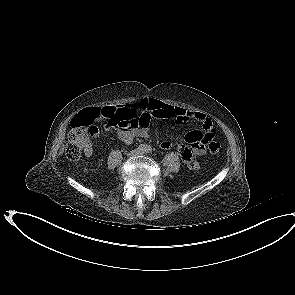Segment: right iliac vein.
Segmentation results:
<instances>
[{
    "instance_id": "1",
    "label": "right iliac vein",
    "mask_w": 295,
    "mask_h": 295,
    "mask_svg": "<svg viewBox=\"0 0 295 295\" xmlns=\"http://www.w3.org/2000/svg\"><path fill=\"white\" fill-rule=\"evenodd\" d=\"M134 155H136V152H131V153L129 154V156H134Z\"/></svg>"
}]
</instances>
